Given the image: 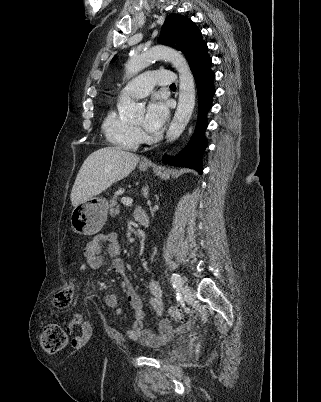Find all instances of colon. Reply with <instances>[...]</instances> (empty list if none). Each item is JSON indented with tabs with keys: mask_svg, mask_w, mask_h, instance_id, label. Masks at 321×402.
<instances>
[{
	"mask_svg": "<svg viewBox=\"0 0 321 402\" xmlns=\"http://www.w3.org/2000/svg\"><path fill=\"white\" fill-rule=\"evenodd\" d=\"M74 301V291L71 287L58 291L53 298V306L57 310L66 309L72 306ZM170 316L176 321L184 320V313L177 307L169 309ZM68 334L57 324L45 323L40 334V345L47 354H55L66 348L68 344Z\"/></svg>",
	"mask_w": 321,
	"mask_h": 402,
	"instance_id": "1",
	"label": "colon"
}]
</instances>
